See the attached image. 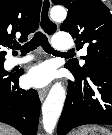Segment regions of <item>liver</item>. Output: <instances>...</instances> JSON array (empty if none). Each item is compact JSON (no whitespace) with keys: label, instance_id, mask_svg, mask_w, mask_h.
Wrapping results in <instances>:
<instances>
[{"label":"liver","instance_id":"liver-1","mask_svg":"<svg viewBox=\"0 0 112 135\" xmlns=\"http://www.w3.org/2000/svg\"><path fill=\"white\" fill-rule=\"evenodd\" d=\"M0 135H19V133L14 128L0 123Z\"/></svg>","mask_w":112,"mask_h":135}]
</instances>
